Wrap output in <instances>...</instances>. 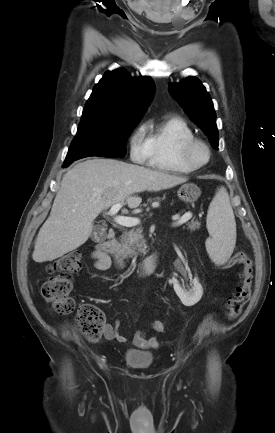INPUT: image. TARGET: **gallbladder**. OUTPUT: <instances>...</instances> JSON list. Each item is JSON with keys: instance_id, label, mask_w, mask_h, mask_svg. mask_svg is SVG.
Returning <instances> with one entry per match:
<instances>
[{"instance_id": "obj_1", "label": "gallbladder", "mask_w": 275, "mask_h": 433, "mask_svg": "<svg viewBox=\"0 0 275 433\" xmlns=\"http://www.w3.org/2000/svg\"><path fill=\"white\" fill-rule=\"evenodd\" d=\"M94 231L100 233V232H101V228H100V227H95V228H94Z\"/></svg>"}]
</instances>
